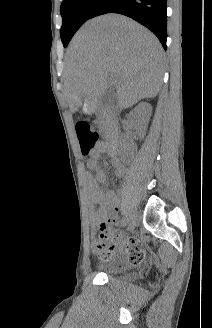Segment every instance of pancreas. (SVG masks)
<instances>
[{
    "mask_svg": "<svg viewBox=\"0 0 212 328\" xmlns=\"http://www.w3.org/2000/svg\"><path fill=\"white\" fill-rule=\"evenodd\" d=\"M100 127H102V121H99Z\"/></svg>",
    "mask_w": 212,
    "mask_h": 328,
    "instance_id": "pancreas-1",
    "label": "pancreas"
}]
</instances>
